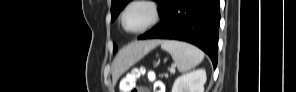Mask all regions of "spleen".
<instances>
[{
    "instance_id": "1",
    "label": "spleen",
    "mask_w": 296,
    "mask_h": 92,
    "mask_svg": "<svg viewBox=\"0 0 296 92\" xmlns=\"http://www.w3.org/2000/svg\"><path fill=\"white\" fill-rule=\"evenodd\" d=\"M161 48L170 53L180 72H186L197 66L204 58V53L197 47L175 40H165Z\"/></svg>"
}]
</instances>
